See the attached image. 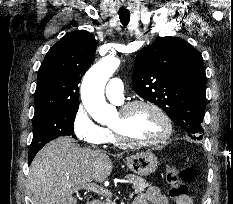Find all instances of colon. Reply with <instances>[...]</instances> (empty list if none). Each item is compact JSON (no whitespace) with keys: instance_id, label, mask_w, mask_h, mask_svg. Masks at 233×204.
<instances>
[{"instance_id":"colon-1","label":"colon","mask_w":233,"mask_h":204,"mask_svg":"<svg viewBox=\"0 0 233 204\" xmlns=\"http://www.w3.org/2000/svg\"><path fill=\"white\" fill-rule=\"evenodd\" d=\"M196 177V170L191 166L178 168L169 166L165 172V179L169 185L170 198L176 199L186 194L187 184L192 182Z\"/></svg>"}]
</instances>
